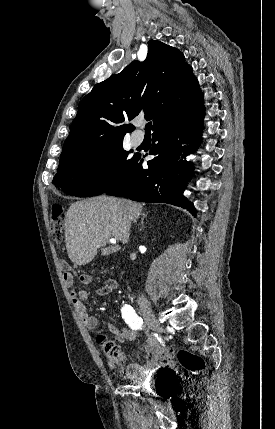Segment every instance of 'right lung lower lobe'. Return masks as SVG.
<instances>
[{"instance_id":"obj_1","label":"right lung lower lobe","mask_w":275,"mask_h":429,"mask_svg":"<svg viewBox=\"0 0 275 429\" xmlns=\"http://www.w3.org/2000/svg\"><path fill=\"white\" fill-rule=\"evenodd\" d=\"M203 111L156 130L150 151L156 157L148 161V169L136 162L128 176L105 193L138 202L169 203L187 209L195 216L193 204L183 196L192 176L193 164L183 158L193 153L201 142Z\"/></svg>"}]
</instances>
